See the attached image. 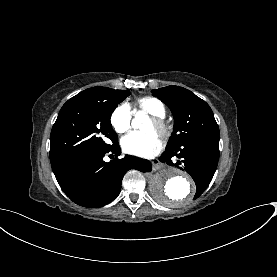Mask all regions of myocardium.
Returning a JSON list of instances; mask_svg holds the SVG:
<instances>
[{"mask_svg":"<svg viewBox=\"0 0 277 277\" xmlns=\"http://www.w3.org/2000/svg\"><path fill=\"white\" fill-rule=\"evenodd\" d=\"M150 119L154 123L156 133L162 137L167 136L169 132V127L166 124L164 118L158 115H151Z\"/></svg>","mask_w":277,"mask_h":277,"instance_id":"f54148a6","label":"myocardium"}]
</instances>
